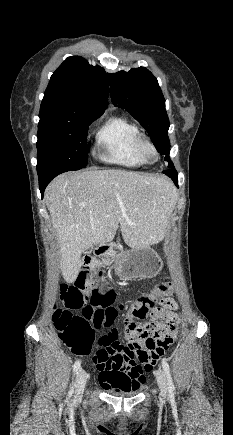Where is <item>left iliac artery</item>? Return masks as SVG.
I'll use <instances>...</instances> for the list:
<instances>
[{
  "mask_svg": "<svg viewBox=\"0 0 233 435\" xmlns=\"http://www.w3.org/2000/svg\"><path fill=\"white\" fill-rule=\"evenodd\" d=\"M162 367H163V369L166 373V376H167L169 392H173L175 390V387H174V383H173V380H172V377L170 374L169 365L165 359L162 360Z\"/></svg>",
  "mask_w": 233,
  "mask_h": 435,
  "instance_id": "1",
  "label": "left iliac artery"
}]
</instances>
